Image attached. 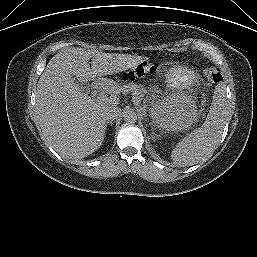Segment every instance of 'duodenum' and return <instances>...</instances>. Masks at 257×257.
<instances>
[{
	"instance_id": "duodenum-1",
	"label": "duodenum",
	"mask_w": 257,
	"mask_h": 257,
	"mask_svg": "<svg viewBox=\"0 0 257 257\" xmlns=\"http://www.w3.org/2000/svg\"><path fill=\"white\" fill-rule=\"evenodd\" d=\"M99 85L97 83L93 84V88H97Z\"/></svg>"
}]
</instances>
